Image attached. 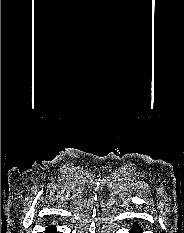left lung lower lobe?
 <instances>
[{
    "mask_svg": "<svg viewBox=\"0 0 184 233\" xmlns=\"http://www.w3.org/2000/svg\"><path fill=\"white\" fill-rule=\"evenodd\" d=\"M141 227H139L138 223L135 222L130 230V233H142Z\"/></svg>",
    "mask_w": 184,
    "mask_h": 233,
    "instance_id": "left-lung-lower-lobe-1",
    "label": "left lung lower lobe"
}]
</instances>
